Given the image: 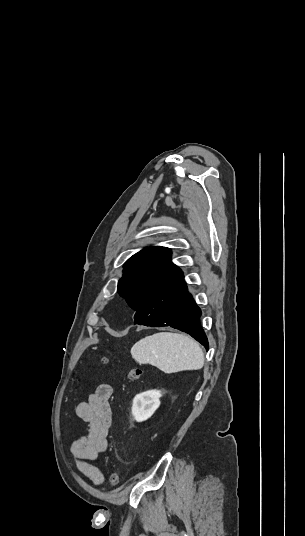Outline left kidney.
<instances>
[{
    "label": "left kidney",
    "instance_id": "1",
    "mask_svg": "<svg viewBox=\"0 0 305 536\" xmlns=\"http://www.w3.org/2000/svg\"><path fill=\"white\" fill-rule=\"evenodd\" d=\"M162 394L160 390H149V392H142L137 394L132 404V414L137 422H144L148 420L155 410L160 406V400Z\"/></svg>",
    "mask_w": 305,
    "mask_h": 536
}]
</instances>
